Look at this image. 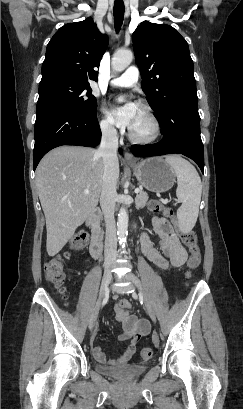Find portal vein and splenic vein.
Returning <instances> with one entry per match:
<instances>
[{
	"mask_svg": "<svg viewBox=\"0 0 243 409\" xmlns=\"http://www.w3.org/2000/svg\"><path fill=\"white\" fill-rule=\"evenodd\" d=\"M140 190L137 188L135 189V193L138 194ZM84 194H89V190H84Z\"/></svg>",
	"mask_w": 243,
	"mask_h": 409,
	"instance_id": "obj_1",
	"label": "portal vein and splenic vein"
}]
</instances>
